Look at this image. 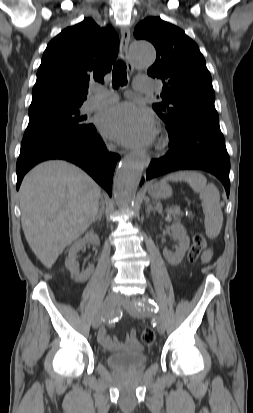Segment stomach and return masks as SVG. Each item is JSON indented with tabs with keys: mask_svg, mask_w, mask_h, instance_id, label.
Returning a JSON list of instances; mask_svg holds the SVG:
<instances>
[{
	"mask_svg": "<svg viewBox=\"0 0 253 413\" xmlns=\"http://www.w3.org/2000/svg\"><path fill=\"white\" fill-rule=\"evenodd\" d=\"M148 193L152 198L166 199L172 195V189L167 183L158 182L148 187Z\"/></svg>",
	"mask_w": 253,
	"mask_h": 413,
	"instance_id": "obj_1",
	"label": "stomach"
}]
</instances>
